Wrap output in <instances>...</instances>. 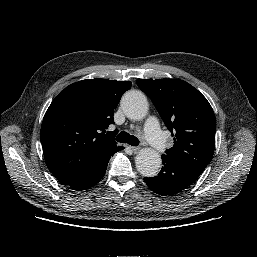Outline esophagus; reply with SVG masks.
Wrapping results in <instances>:
<instances>
[{
  "label": "esophagus",
  "instance_id": "obj_1",
  "mask_svg": "<svg viewBox=\"0 0 257 257\" xmlns=\"http://www.w3.org/2000/svg\"><path fill=\"white\" fill-rule=\"evenodd\" d=\"M131 148V150L134 152V153H138L140 150H141V148L140 147H130Z\"/></svg>",
  "mask_w": 257,
  "mask_h": 257
}]
</instances>
